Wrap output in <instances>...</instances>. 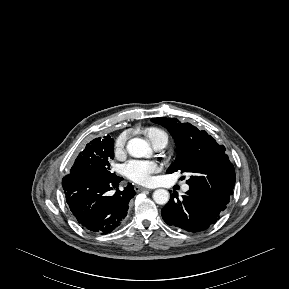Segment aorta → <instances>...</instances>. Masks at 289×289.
Here are the masks:
<instances>
[{
  "instance_id": "aorta-1",
  "label": "aorta",
  "mask_w": 289,
  "mask_h": 289,
  "mask_svg": "<svg viewBox=\"0 0 289 289\" xmlns=\"http://www.w3.org/2000/svg\"><path fill=\"white\" fill-rule=\"evenodd\" d=\"M127 151L131 156L136 158L149 157L151 154L150 145L140 138L129 140ZM153 200L159 205H164L169 201V192L165 189H157L153 193Z\"/></svg>"
}]
</instances>
